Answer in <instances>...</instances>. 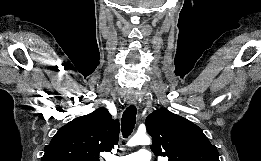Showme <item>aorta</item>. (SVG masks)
<instances>
[{
  "label": "aorta",
  "instance_id": "obj_1",
  "mask_svg": "<svg viewBox=\"0 0 261 161\" xmlns=\"http://www.w3.org/2000/svg\"><path fill=\"white\" fill-rule=\"evenodd\" d=\"M150 138L146 134H135L127 143L128 146L149 145Z\"/></svg>",
  "mask_w": 261,
  "mask_h": 161
}]
</instances>
